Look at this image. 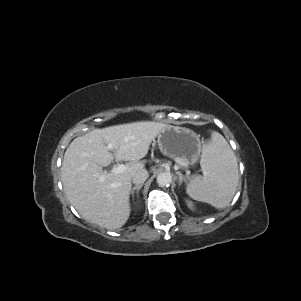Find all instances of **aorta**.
Returning a JSON list of instances; mask_svg holds the SVG:
<instances>
[{
	"mask_svg": "<svg viewBox=\"0 0 301 301\" xmlns=\"http://www.w3.org/2000/svg\"><path fill=\"white\" fill-rule=\"evenodd\" d=\"M157 183L159 186L164 187V186H168L171 184L172 182V175L170 172H161L158 176H157Z\"/></svg>",
	"mask_w": 301,
	"mask_h": 301,
	"instance_id": "aorta-1",
	"label": "aorta"
}]
</instances>
